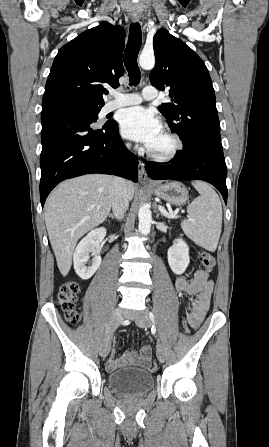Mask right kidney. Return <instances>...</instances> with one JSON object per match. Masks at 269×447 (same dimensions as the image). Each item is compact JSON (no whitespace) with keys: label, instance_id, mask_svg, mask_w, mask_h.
<instances>
[{"label":"right kidney","instance_id":"ca27d5eb","mask_svg":"<svg viewBox=\"0 0 269 447\" xmlns=\"http://www.w3.org/2000/svg\"><path fill=\"white\" fill-rule=\"evenodd\" d=\"M106 235L105 227H97V229H91L81 241H79L73 255L74 261V269L81 277V279H89L92 277L93 273H95L96 269H98L101 263V255L97 253L95 247L101 243L102 239H104ZM90 251L95 253L91 265L87 267L85 263H87L90 255Z\"/></svg>","mask_w":269,"mask_h":447}]
</instances>
